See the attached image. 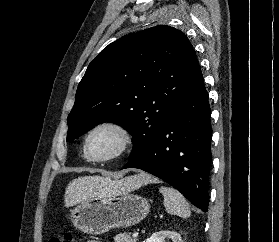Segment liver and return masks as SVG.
I'll list each match as a JSON object with an SVG mask.
<instances>
[{"label":"liver","mask_w":279,"mask_h":242,"mask_svg":"<svg viewBox=\"0 0 279 242\" xmlns=\"http://www.w3.org/2000/svg\"><path fill=\"white\" fill-rule=\"evenodd\" d=\"M154 181L155 179L147 174L128 177L119 182L102 176L79 177L70 182L66 188L65 206H73L90 197L106 196L118 188L131 191Z\"/></svg>","instance_id":"6515ba94"}]
</instances>
